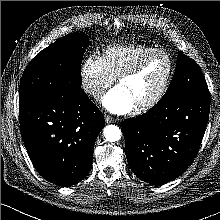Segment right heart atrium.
Returning a JSON list of instances; mask_svg holds the SVG:
<instances>
[{
	"label": "right heart atrium",
	"mask_w": 220,
	"mask_h": 220,
	"mask_svg": "<svg viewBox=\"0 0 220 220\" xmlns=\"http://www.w3.org/2000/svg\"><path fill=\"white\" fill-rule=\"evenodd\" d=\"M113 81L100 57L90 55L83 61L80 68V82L87 95L99 100Z\"/></svg>",
	"instance_id": "1"
}]
</instances>
